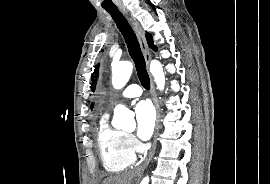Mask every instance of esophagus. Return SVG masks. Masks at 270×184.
<instances>
[{
    "mask_svg": "<svg viewBox=\"0 0 270 184\" xmlns=\"http://www.w3.org/2000/svg\"><path fill=\"white\" fill-rule=\"evenodd\" d=\"M120 11L124 15V17L127 19V21L130 23L131 27L133 28L137 36V39L139 41L142 53L144 55L147 68H149V63L151 60V53H150V50H149V47L145 38V34L142 30V27L140 26L137 19L133 17L132 14L127 9L121 8ZM149 76H150V83H151V97H152V100L156 109L157 117H156V124H155V130H154V135H153L152 147L149 151L147 158L143 162V164L137 169V172H142L147 167L150 160L152 159L155 149H156L157 136H158L159 127H160V108H159L157 95L155 91L154 80L150 74Z\"/></svg>",
    "mask_w": 270,
    "mask_h": 184,
    "instance_id": "obj_1",
    "label": "esophagus"
}]
</instances>
